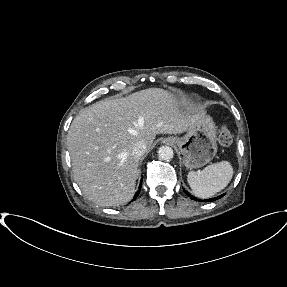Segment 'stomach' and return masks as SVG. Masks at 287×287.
Segmentation results:
<instances>
[{
  "label": "stomach",
  "instance_id": "0dacf381",
  "mask_svg": "<svg viewBox=\"0 0 287 287\" xmlns=\"http://www.w3.org/2000/svg\"><path fill=\"white\" fill-rule=\"evenodd\" d=\"M216 137L217 130L212 118L201 115L186 134L177 139L184 165L188 169H196L210 162L217 152Z\"/></svg>",
  "mask_w": 287,
  "mask_h": 287
}]
</instances>
